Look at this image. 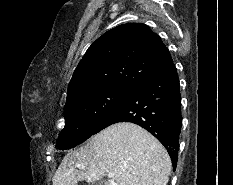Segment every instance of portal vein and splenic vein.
Listing matches in <instances>:
<instances>
[{
    "mask_svg": "<svg viewBox=\"0 0 233 185\" xmlns=\"http://www.w3.org/2000/svg\"><path fill=\"white\" fill-rule=\"evenodd\" d=\"M77 167H78V168H81V169H84V168H85L84 165H77ZM112 177H113V174H112V173H109V174H108V178L111 179ZM110 182L112 183V185H116V184L114 183V180H113V179H111Z\"/></svg>",
    "mask_w": 233,
    "mask_h": 185,
    "instance_id": "portal-vein-and-splenic-vein-1",
    "label": "portal vein and splenic vein"
}]
</instances>
